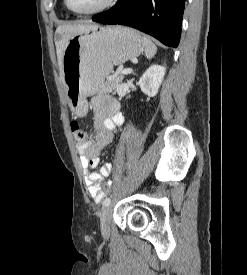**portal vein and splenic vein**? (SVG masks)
Segmentation results:
<instances>
[{"instance_id":"obj_1","label":"portal vein and splenic vein","mask_w":247,"mask_h":275,"mask_svg":"<svg viewBox=\"0 0 247 275\" xmlns=\"http://www.w3.org/2000/svg\"><path fill=\"white\" fill-rule=\"evenodd\" d=\"M132 72L131 68L123 69L120 71L121 74H130Z\"/></svg>"}]
</instances>
